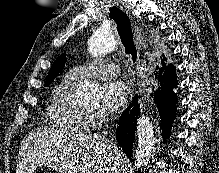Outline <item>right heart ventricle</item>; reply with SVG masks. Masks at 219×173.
<instances>
[{"label":"right heart ventricle","instance_id":"e07e8e85","mask_svg":"<svg viewBox=\"0 0 219 173\" xmlns=\"http://www.w3.org/2000/svg\"><path fill=\"white\" fill-rule=\"evenodd\" d=\"M77 83L65 77L52 90L46 109L49 125L57 130L77 132L88 128V115L74 102Z\"/></svg>","mask_w":219,"mask_h":173}]
</instances>
